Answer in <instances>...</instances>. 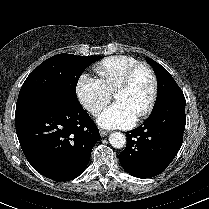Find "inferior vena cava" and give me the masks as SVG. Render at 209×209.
<instances>
[{
  "instance_id": "inferior-vena-cava-1",
  "label": "inferior vena cava",
  "mask_w": 209,
  "mask_h": 209,
  "mask_svg": "<svg viewBox=\"0 0 209 209\" xmlns=\"http://www.w3.org/2000/svg\"><path fill=\"white\" fill-rule=\"evenodd\" d=\"M100 109H101V108H100L99 106L94 107V111H95V112L100 111Z\"/></svg>"
}]
</instances>
